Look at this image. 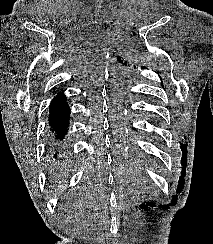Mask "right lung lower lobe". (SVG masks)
<instances>
[{"mask_svg":"<svg viewBox=\"0 0 213 244\" xmlns=\"http://www.w3.org/2000/svg\"><path fill=\"white\" fill-rule=\"evenodd\" d=\"M49 127L51 148L55 159L66 156L69 143L66 138L70 124V108L63 93H58L49 105Z\"/></svg>","mask_w":213,"mask_h":244,"instance_id":"98d812e1","label":"right lung lower lobe"}]
</instances>
